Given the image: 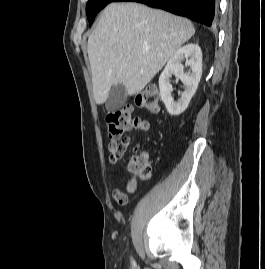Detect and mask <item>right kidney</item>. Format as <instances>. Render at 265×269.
Here are the masks:
<instances>
[{"instance_id": "right-kidney-1", "label": "right kidney", "mask_w": 265, "mask_h": 269, "mask_svg": "<svg viewBox=\"0 0 265 269\" xmlns=\"http://www.w3.org/2000/svg\"><path fill=\"white\" fill-rule=\"evenodd\" d=\"M186 59L185 66L190 67L188 73L184 72L181 63ZM178 77L185 85L184 91L178 101H174L171 92L170 78ZM202 75V51L198 44H187L179 48L168 61L159 77L160 96L168 113L177 116L184 112L195 94Z\"/></svg>"}]
</instances>
